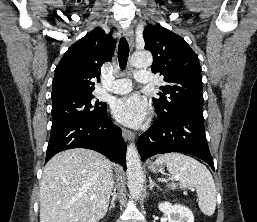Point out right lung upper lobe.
Instances as JSON below:
<instances>
[{"label": "right lung upper lobe", "mask_w": 257, "mask_h": 222, "mask_svg": "<svg viewBox=\"0 0 257 222\" xmlns=\"http://www.w3.org/2000/svg\"><path fill=\"white\" fill-rule=\"evenodd\" d=\"M115 40L100 27L75 42L55 69L52 101L92 95L93 79L100 80V66L111 59Z\"/></svg>", "instance_id": "cb5924a9"}]
</instances>
